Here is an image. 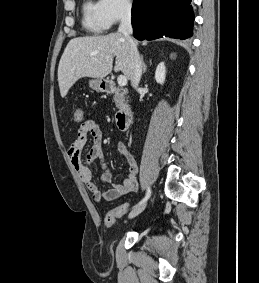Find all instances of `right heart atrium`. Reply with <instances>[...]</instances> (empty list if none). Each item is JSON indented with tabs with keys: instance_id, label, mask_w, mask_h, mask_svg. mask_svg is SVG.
I'll return each mask as SVG.
<instances>
[{
	"instance_id": "right-heart-atrium-1",
	"label": "right heart atrium",
	"mask_w": 259,
	"mask_h": 283,
	"mask_svg": "<svg viewBox=\"0 0 259 283\" xmlns=\"http://www.w3.org/2000/svg\"><path fill=\"white\" fill-rule=\"evenodd\" d=\"M100 8L109 26H113L134 12L132 0H99Z\"/></svg>"
}]
</instances>
